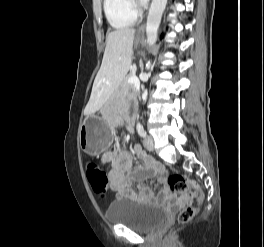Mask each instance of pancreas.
<instances>
[{"instance_id":"pancreas-1","label":"pancreas","mask_w":264,"mask_h":247,"mask_svg":"<svg viewBox=\"0 0 264 247\" xmlns=\"http://www.w3.org/2000/svg\"><path fill=\"white\" fill-rule=\"evenodd\" d=\"M133 75H134L133 73L128 74L127 77L125 78V80L121 83V85H120V87H119V91H118V93H119L121 96H123V95H125V94H127V93H131V92H133V90H134L133 85H132L131 83H128V82H127V79H128L129 77L133 76Z\"/></svg>"}]
</instances>
